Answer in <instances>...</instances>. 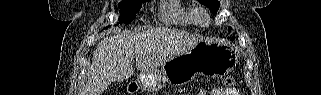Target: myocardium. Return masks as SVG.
I'll return each instance as SVG.
<instances>
[{
  "label": "myocardium",
  "mask_w": 321,
  "mask_h": 95,
  "mask_svg": "<svg viewBox=\"0 0 321 95\" xmlns=\"http://www.w3.org/2000/svg\"><path fill=\"white\" fill-rule=\"evenodd\" d=\"M199 20H200V22L202 24H207L208 23L207 19H206V16L204 14H202V13L199 15Z\"/></svg>",
  "instance_id": "myocardium-1"
}]
</instances>
